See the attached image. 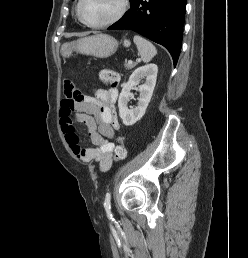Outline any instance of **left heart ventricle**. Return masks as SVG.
Masks as SVG:
<instances>
[{
    "label": "left heart ventricle",
    "mask_w": 248,
    "mask_h": 258,
    "mask_svg": "<svg viewBox=\"0 0 248 258\" xmlns=\"http://www.w3.org/2000/svg\"><path fill=\"white\" fill-rule=\"evenodd\" d=\"M120 6V0H84L82 13L90 23H100L112 17Z\"/></svg>",
    "instance_id": "left-heart-ventricle-1"
}]
</instances>
